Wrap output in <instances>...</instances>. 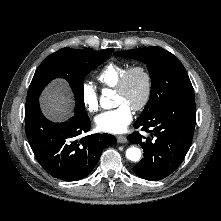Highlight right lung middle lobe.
I'll return each mask as SVG.
<instances>
[{
  "mask_svg": "<svg viewBox=\"0 0 221 221\" xmlns=\"http://www.w3.org/2000/svg\"><path fill=\"white\" fill-rule=\"evenodd\" d=\"M113 52V49L96 52L63 48L51 54L37 68L29 87L27 102L38 100L51 80L62 78L72 89L76 107L85 110L82 82L90 71L102 64Z\"/></svg>",
  "mask_w": 221,
  "mask_h": 221,
  "instance_id": "obj_1",
  "label": "right lung middle lobe"
}]
</instances>
